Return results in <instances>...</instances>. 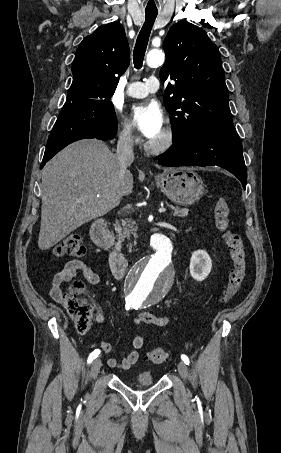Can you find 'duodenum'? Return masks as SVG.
I'll use <instances>...</instances> for the list:
<instances>
[{
	"instance_id": "duodenum-1",
	"label": "duodenum",
	"mask_w": 281,
	"mask_h": 453,
	"mask_svg": "<svg viewBox=\"0 0 281 453\" xmlns=\"http://www.w3.org/2000/svg\"><path fill=\"white\" fill-rule=\"evenodd\" d=\"M91 236L95 244L109 251L111 271L116 278H122L128 270V261L119 250L114 248L113 238L106 221H97L92 227Z\"/></svg>"
}]
</instances>
